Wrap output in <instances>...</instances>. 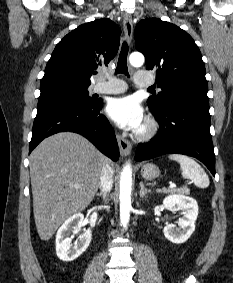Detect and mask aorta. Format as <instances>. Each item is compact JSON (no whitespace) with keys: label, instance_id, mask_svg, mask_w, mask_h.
Returning <instances> with one entry per match:
<instances>
[{"label":"aorta","instance_id":"aorta-1","mask_svg":"<svg viewBox=\"0 0 233 283\" xmlns=\"http://www.w3.org/2000/svg\"><path fill=\"white\" fill-rule=\"evenodd\" d=\"M145 59L141 53H132L129 57V62L134 67L143 65ZM131 190H132V168L130 163H127L121 172L120 176V221L123 227H126L130 219L131 210Z\"/></svg>","mask_w":233,"mask_h":283}]
</instances>
